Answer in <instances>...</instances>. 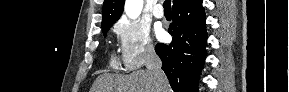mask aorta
Segmentation results:
<instances>
[{
    "label": "aorta",
    "instance_id": "aorta-1",
    "mask_svg": "<svg viewBox=\"0 0 289 92\" xmlns=\"http://www.w3.org/2000/svg\"><path fill=\"white\" fill-rule=\"evenodd\" d=\"M143 8V0H127L125 3V13L126 15L131 18H137Z\"/></svg>",
    "mask_w": 289,
    "mask_h": 92
}]
</instances>
